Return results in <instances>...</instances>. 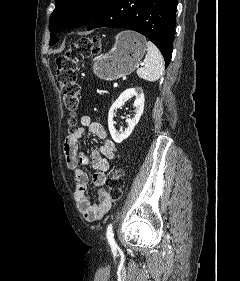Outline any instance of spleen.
<instances>
[{"instance_id": "spleen-1", "label": "spleen", "mask_w": 240, "mask_h": 281, "mask_svg": "<svg viewBox=\"0 0 240 281\" xmlns=\"http://www.w3.org/2000/svg\"><path fill=\"white\" fill-rule=\"evenodd\" d=\"M147 54L144 59V67L137 69V75L150 82L157 81L164 71V59L159 49L151 42L146 43Z\"/></svg>"}]
</instances>
